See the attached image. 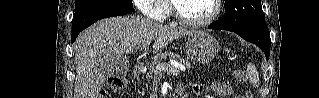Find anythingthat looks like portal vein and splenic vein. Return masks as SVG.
Returning a JSON list of instances; mask_svg holds the SVG:
<instances>
[{
  "mask_svg": "<svg viewBox=\"0 0 319 98\" xmlns=\"http://www.w3.org/2000/svg\"><path fill=\"white\" fill-rule=\"evenodd\" d=\"M150 40H146L142 43V48H146L149 44H150ZM170 72L173 75H178L179 71H178V65L177 64H165V63H161L159 64L156 69L155 72L159 73V72Z\"/></svg>",
  "mask_w": 319,
  "mask_h": 98,
  "instance_id": "1",
  "label": "portal vein and splenic vein"
}]
</instances>
